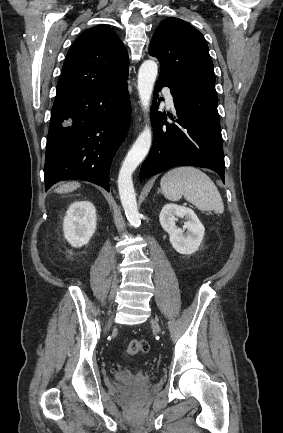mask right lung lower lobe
Wrapping results in <instances>:
<instances>
[{
  "label": "right lung lower lobe",
  "instance_id": "obj_1",
  "mask_svg": "<svg viewBox=\"0 0 283 433\" xmlns=\"http://www.w3.org/2000/svg\"><path fill=\"white\" fill-rule=\"evenodd\" d=\"M127 78L115 86L55 99L46 144V190L58 181L85 180L109 191L111 161L131 117Z\"/></svg>",
  "mask_w": 283,
  "mask_h": 433
}]
</instances>
